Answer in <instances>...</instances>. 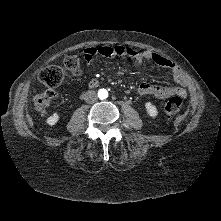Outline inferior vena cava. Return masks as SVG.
<instances>
[{
    "label": "inferior vena cava",
    "mask_w": 221,
    "mask_h": 221,
    "mask_svg": "<svg viewBox=\"0 0 221 221\" xmlns=\"http://www.w3.org/2000/svg\"><path fill=\"white\" fill-rule=\"evenodd\" d=\"M84 100L90 104L95 103L98 100V96L95 91L90 90V91L85 92Z\"/></svg>",
    "instance_id": "602c4592"
}]
</instances>
